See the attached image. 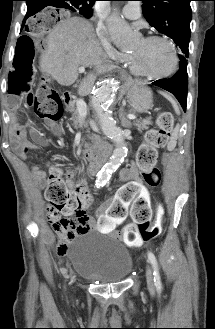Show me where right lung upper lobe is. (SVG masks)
<instances>
[{
	"instance_id": "cb5924a9",
	"label": "right lung upper lobe",
	"mask_w": 215,
	"mask_h": 329,
	"mask_svg": "<svg viewBox=\"0 0 215 329\" xmlns=\"http://www.w3.org/2000/svg\"><path fill=\"white\" fill-rule=\"evenodd\" d=\"M45 3L43 4V8L47 6H53L57 8H64L65 2L67 0H41ZM85 1L87 4L93 5L96 0H82Z\"/></svg>"
}]
</instances>
